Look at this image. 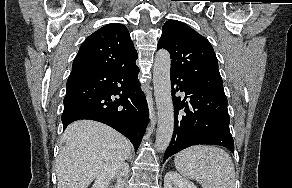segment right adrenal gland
<instances>
[{
  "label": "right adrenal gland",
  "mask_w": 292,
  "mask_h": 188,
  "mask_svg": "<svg viewBox=\"0 0 292 188\" xmlns=\"http://www.w3.org/2000/svg\"><path fill=\"white\" fill-rule=\"evenodd\" d=\"M131 159H132V155H130V156L128 157V161H131Z\"/></svg>",
  "instance_id": "obj_1"
}]
</instances>
